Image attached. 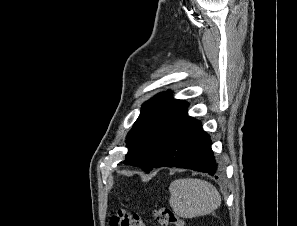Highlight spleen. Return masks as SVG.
Wrapping results in <instances>:
<instances>
[{
  "label": "spleen",
  "mask_w": 297,
  "mask_h": 226,
  "mask_svg": "<svg viewBox=\"0 0 297 226\" xmlns=\"http://www.w3.org/2000/svg\"><path fill=\"white\" fill-rule=\"evenodd\" d=\"M169 204L182 218H194L212 213L221 205L218 190L208 181L183 178L171 182Z\"/></svg>",
  "instance_id": "obj_1"
}]
</instances>
